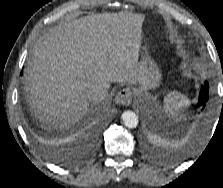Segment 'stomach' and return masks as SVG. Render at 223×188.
Masks as SVG:
<instances>
[{
  "label": "stomach",
  "instance_id": "stomach-1",
  "mask_svg": "<svg viewBox=\"0 0 223 188\" xmlns=\"http://www.w3.org/2000/svg\"><path fill=\"white\" fill-rule=\"evenodd\" d=\"M141 58L138 63V87L135 90L137 96L149 89L156 88L161 80V72L157 64L150 57L146 46L141 47Z\"/></svg>",
  "mask_w": 223,
  "mask_h": 188
}]
</instances>
